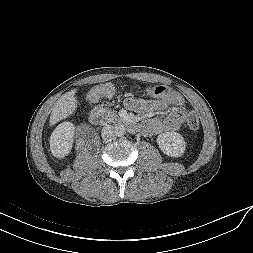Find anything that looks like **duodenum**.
Listing matches in <instances>:
<instances>
[{"instance_id": "410a0bca", "label": "duodenum", "mask_w": 253, "mask_h": 253, "mask_svg": "<svg viewBox=\"0 0 253 253\" xmlns=\"http://www.w3.org/2000/svg\"><path fill=\"white\" fill-rule=\"evenodd\" d=\"M104 110L100 106H94L89 113V120L92 124H100L104 120ZM118 123L125 125L132 132H136L139 129L138 124L131 118L124 117L118 119Z\"/></svg>"}]
</instances>
